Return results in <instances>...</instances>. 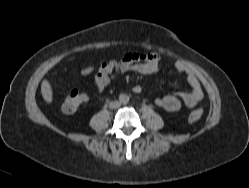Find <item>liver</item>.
I'll use <instances>...</instances> for the list:
<instances>
[{
  "mask_svg": "<svg viewBox=\"0 0 249 188\" xmlns=\"http://www.w3.org/2000/svg\"><path fill=\"white\" fill-rule=\"evenodd\" d=\"M41 94L44 101L51 104L53 101V90L48 80H43L41 84Z\"/></svg>",
  "mask_w": 249,
  "mask_h": 188,
  "instance_id": "6515ba94",
  "label": "liver"
}]
</instances>
